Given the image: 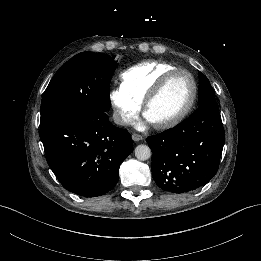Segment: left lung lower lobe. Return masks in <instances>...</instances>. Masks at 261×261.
Instances as JSON below:
<instances>
[{
    "label": "left lung lower lobe",
    "mask_w": 261,
    "mask_h": 261,
    "mask_svg": "<svg viewBox=\"0 0 261 261\" xmlns=\"http://www.w3.org/2000/svg\"><path fill=\"white\" fill-rule=\"evenodd\" d=\"M152 174L158 187L187 193L205 186L217 173L225 133L216 102L199 107L188 119L149 136Z\"/></svg>",
    "instance_id": "left-lung-lower-lobe-1"
}]
</instances>
